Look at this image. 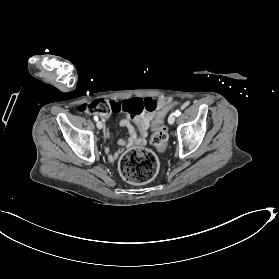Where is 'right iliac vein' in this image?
I'll return each mask as SVG.
<instances>
[{"mask_svg":"<svg viewBox=\"0 0 279 279\" xmlns=\"http://www.w3.org/2000/svg\"><path fill=\"white\" fill-rule=\"evenodd\" d=\"M96 126L98 129H101L103 127V123L101 121H97Z\"/></svg>","mask_w":279,"mask_h":279,"instance_id":"63e3f726","label":"right iliac vein"}]
</instances>
